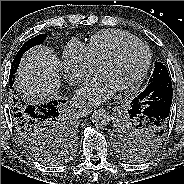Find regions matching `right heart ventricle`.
<instances>
[{"label": "right heart ventricle", "instance_id": "1", "mask_svg": "<svg viewBox=\"0 0 184 184\" xmlns=\"http://www.w3.org/2000/svg\"><path fill=\"white\" fill-rule=\"evenodd\" d=\"M135 39L133 35L121 30H105L92 36L87 47L92 59L99 65L119 45Z\"/></svg>", "mask_w": 184, "mask_h": 184}]
</instances>
